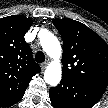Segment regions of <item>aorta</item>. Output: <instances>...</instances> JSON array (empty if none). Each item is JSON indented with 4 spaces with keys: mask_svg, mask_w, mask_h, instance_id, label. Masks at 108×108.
<instances>
[{
    "mask_svg": "<svg viewBox=\"0 0 108 108\" xmlns=\"http://www.w3.org/2000/svg\"><path fill=\"white\" fill-rule=\"evenodd\" d=\"M40 44L45 53L53 59L44 72V80L47 84L56 86L62 78V66L60 63L62 49L60 42L53 33L46 31L40 37Z\"/></svg>",
    "mask_w": 108,
    "mask_h": 108,
    "instance_id": "762f6f07",
    "label": "aorta"
}]
</instances>
